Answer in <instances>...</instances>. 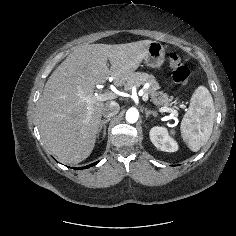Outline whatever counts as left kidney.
<instances>
[{
    "label": "left kidney",
    "instance_id": "1",
    "mask_svg": "<svg viewBox=\"0 0 236 236\" xmlns=\"http://www.w3.org/2000/svg\"><path fill=\"white\" fill-rule=\"evenodd\" d=\"M149 135L152 143L159 150L165 152H175L178 150V144L169 136L164 127H153Z\"/></svg>",
    "mask_w": 236,
    "mask_h": 236
}]
</instances>
